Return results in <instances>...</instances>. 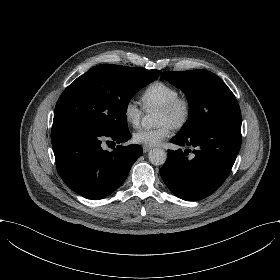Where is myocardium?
Returning a JSON list of instances; mask_svg holds the SVG:
<instances>
[{"label":"myocardium","instance_id":"obj_1","mask_svg":"<svg viewBox=\"0 0 280 280\" xmlns=\"http://www.w3.org/2000/svg\"><path fill=\"white\" fill-rule=\"evenodd\" d=\"M158 108L164 111L179 112V115L173 124V127L176 129L185 127L191 121L193 115V104L191 100L188 97L181 95L159 105Z\"/></svg>","mask_w":280,"mask_h":280}]
</instances>
